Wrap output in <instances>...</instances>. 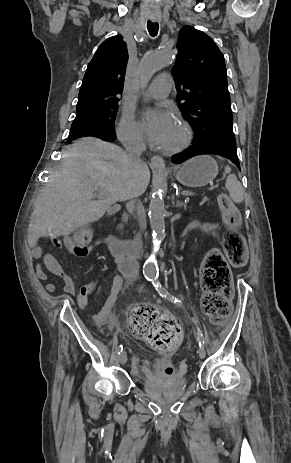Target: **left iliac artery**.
<instances>
[{
  "label": "left iliac artery",
  "mask_w": 291,
  "mask_h": 463,
  "mask_svg": "<svg viewBox=\"0 0 291 463\" xmlns=\"http://www.w3.org/2000/svg\"><path fill=\"white\" fill-rule=\"evenodd\" d=\"M152 281V284L153 286L155 287V289L158 291L159 295L175 304H180L181 305V300L177 299L176 297H174L173 295H171L165 288H163L157 278L156 277H153L151 279ZM197 340L199 342V346L200 347H203L204 346V338H203V334L199 331L198 332V337H197Z\"/></svg>",
  "instance_id": "obj_1"
}]
</instances>
